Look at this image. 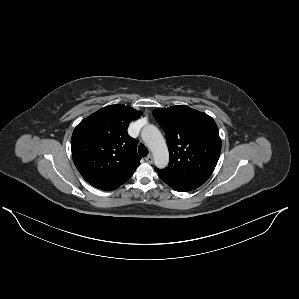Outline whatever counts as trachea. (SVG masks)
Instances as JSON below:
<instances>
[{
  "mask_svg": "<svg viewBox=\"0 0 299 299\" xmlns=\"http://www.w3.org/2000/svg\"><path fill=\"white\" fill-rule=\"evenodd\" d=\"M138 153L140 156L145 157L148 155V149L146 148L145 145L141 144L138 147Z\"/></svg>",
  "mask_w": 299,
  "mask_h": 299,
  "instance_id": "trachea-1",
  "label": "trachea"
}]
</instances>
